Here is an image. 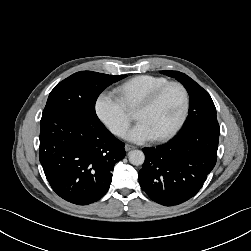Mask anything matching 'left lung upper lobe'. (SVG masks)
Masks as SVG:
<instances>
[{
  "mask_svg": "<svg viewBox=\"0 0 251 251\" xmlns=\"http://www.w3.org/2000/svg\"><path fill=\"white\" fill-rule=\"evenodd\" d=\"M160 73L175 78L188 91L190 108L180 131L202 124L218 125L215 105L210 95L200 85L186 74L178 71H160Z\"/></svg>",
  "mask_w": 251,
  "mask_h": 251,
  "instance_id": "5c2ea615",
  "label": "left lung upper lobe"
}]
</instances>
